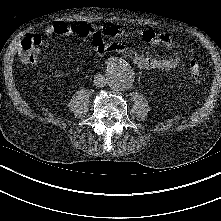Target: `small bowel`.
<instances>
[{
  "mask_svg": "<svg viewBox=\"0 0 221 221\" xmlns=\"http://www.w3.org/2000/svg\"><path fill=\"white\" fill-rule=\"evenodd\" d=\"M130 28L126 25H107L100 29H92L85 24H73L56 22L43 30L42 35L46 38L53 36H75L82 39L90 38L94 50L102 56L108 52L122 53L128 56L140 69L146 70H170L180 63V54L173 52L169 56H149L128 48L124 44L110 39L129 35ZM136 37L151 45H162L167 49H174V41L167 33L156 32L151 29L135 31ZM42 41L41 36H36Z\"/></svg>",
  "mask_w": 221,
  "mask_h": 221,
  "instance_id": "obj_1",
  "label": "small bowel"
}]
</instances>
